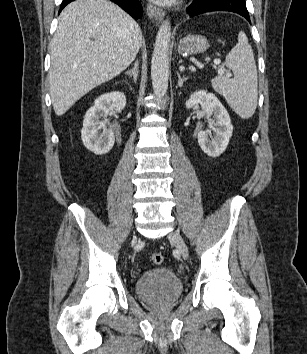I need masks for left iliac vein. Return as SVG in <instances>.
<instances>
[{"label":"left iliac vein","instance_id":"obj_1","mask_svg":"<svg viewBox=\"0 0 307 354\" xmlns=\"http://www.w3.org/2000/svg\"><path fill=\"white\" fill-rule=\"evenodd\" d=\"M169 240L175 245V247L179 250L181 253L182 257L184 259L188 258L189 252H188V247L181 237L180 233L178 231H172L168 235Z\"/></svg>","mask_w":307,"mask_h":354}]
</instances>
